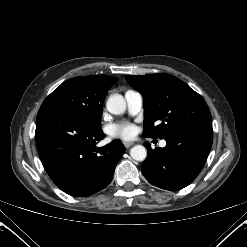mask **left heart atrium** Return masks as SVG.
I'll return each mask as SVG.
<instances>
[{
  "instance_id": "1",
  "label": "left heart atrium",
  "mask_w": 247,
  "mask_h": 247,
  "mask_svg": "<svg viewBox=\"0 0 247 247\" xmlns=\"http://www.w3.org/2000/svg\"><path fill=\"white\" fill-rule=\"evenodd\" d=\"M109 134L114 138H129L133 134V126L128 122H120L109 127Z\"/></svg>"
}]
</instances>
